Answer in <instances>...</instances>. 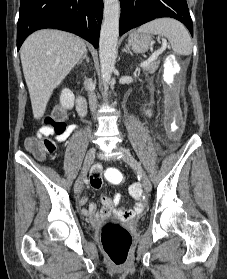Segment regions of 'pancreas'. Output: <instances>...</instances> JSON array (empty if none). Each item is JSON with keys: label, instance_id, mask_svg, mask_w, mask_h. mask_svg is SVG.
<instances>
[{"label": "pancreas", "instance_id": "obj_1", "mask_svg": "<svg viewBox=\"0 0 227 279\" xmlns=\"http://www.w3.org/2000/svg\"><path fill=\"white\" fill-rule=\"evenodd\" d=\"M158 66H159V61H153L150 64L144 66L143 69L146 75H148V74H153L158 69Z\"/></svg>", "mask_w": 227, "mask_h": 279}]
</instances>
